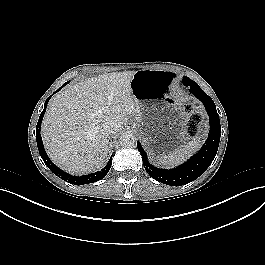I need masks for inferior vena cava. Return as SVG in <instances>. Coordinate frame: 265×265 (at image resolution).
<instances>
[{"label":"inferior vena cava","instance_id":"602c4592","mask_svg":"<svg viewBox=\"0 0 265 265\" xmlns=\"http://www.w3.org/2000/svg\"><path fill=\"white\" fill-rule=\"evenodd\" d=\"M101 132L102 134L106 135V136H110L115 134L116 132V127L113 121H106L102 124L101 127Z\"/></svg>","mask_w":265,"mask_h":265}]
</instances>
